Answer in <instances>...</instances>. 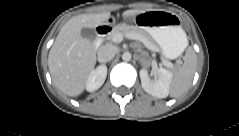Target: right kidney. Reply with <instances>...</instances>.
<instances>
[{"label":"right kidney","mask_w":239,"mask_h":136,"mask_svg":"<svg viewBox=\"0 0 239 136\" xmlns=\"http://www.w3.org/2000/svg\"><path fill=\"white\" fill-rule=\"evenodd\" d=\"M107 67L104 65L98 66L95 70H92L86 80L85 88L88 92H94L98 90L106 80Z\"/></svg>","instance_id":"ca27d5eb"}]
</instances>
